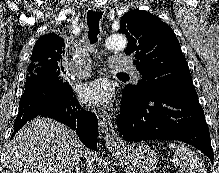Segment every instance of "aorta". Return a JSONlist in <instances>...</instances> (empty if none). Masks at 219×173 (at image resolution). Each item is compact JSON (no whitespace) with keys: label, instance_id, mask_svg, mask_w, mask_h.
<instances>
[{"label":"aorta","instance_id":"762f6f07","mask_svg":"<svg viewBox=\"0 0 219 173\" xmlns=\"http://www.w3.org/2000/svg\"><path fill=\"white\" fill-rule=\"evenodd\" d=\"M104 46L108 50L123 51L127 47V39L122 34H114L105 40Z\"/></svg>","mask_w":219,"mask_h":173}]
</instances>
